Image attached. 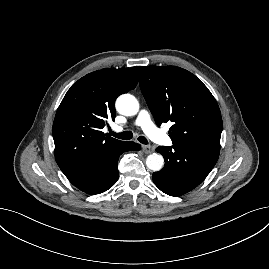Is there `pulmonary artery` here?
Masks as SVG:
<instances>
[{
    "label": "pulmonary artery",
    "mask_w": 269,
    "mask_h": 269,
    "mask_svg": "<svg viewBox=\"0 0 269 269\" xmlns=\"http://www.w3.org/2000/svg\"><path fill=\"white\" fill-rule=\"evenodd\" d=\"M135 124L142 128L148 137H150L155 142H158L163 145H170L171 139L161 132L153 123L150 113L146 109H142L135 121ZM115 131H121L122 127L115 126Z\"/></svg>",
    "instance_id": "pulmonary-artery-1"
}]
</instances>
